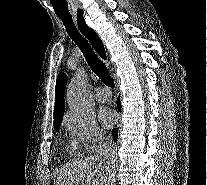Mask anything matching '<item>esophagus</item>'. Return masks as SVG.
<instances>
[{
  "label": "esophagus",
  "instance_id": "esophagus-1",
  "mask_svg": "<svg viewBox=\"0 0 207 185\" xmlns=\"http://www.w3.org/2000/svg\"><path fill=\"white\" fill-rule=\"evenodd\" d=\"M74 13L86 14L87 10L75 9ZM74 19L77 20L76 24L79 30H92V25H83L90 23L86 15H75ZM84 37L89 38V43H93V48H104V43H101L102 33H85ZM99 55H106V50H99ZM101 61H108V56H101Z\"/></svg>",
  "mask_w": 207,
  "mask_h": 185
}]
</instances>
